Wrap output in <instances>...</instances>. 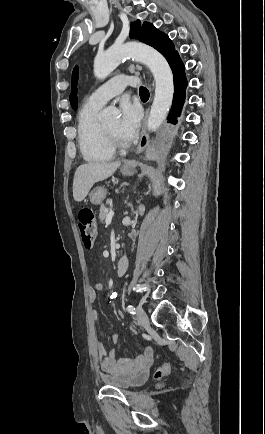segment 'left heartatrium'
I'll return each instance as SVG.
<instances>
[{"label":"left heart atrium","instance_id":"1","mask_svg":"<svg viewBox=\"0 0 265 434\" xmlns=\"http://www.w3.org/2000/svg\"><path fill=\"white\" fill-rule=\"evenodd\" d=\"M120 101L118 134L121 140L130 142L138 133L142 111L138 104L131 103L128 98H122Z\"/></svg>","mask_w":265,"mask_h":434}]
</instances>
